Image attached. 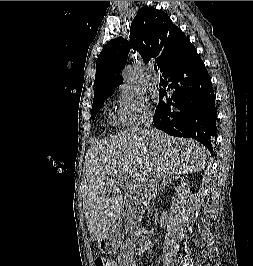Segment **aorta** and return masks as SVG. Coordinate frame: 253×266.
Listing matches in <instances>:
<instances>
[{
	"mask_svg": "<svg viewBox=\"0 0 253 266\" xmlns=\"http://www.w3.org/2000/svg\"><path fill=\"white\" fill-rule=\"evenodd\" d=\"M122 77L130 82V83H133L134 82V77H133V69L131 66H126L125 69L123 70L122 72Z\"/></svg>",
	"mask_w": 253,
	"mask_h": 266,
	"instance_id": "aorta-1",
	"label": "aorta"
}]
</instances>
